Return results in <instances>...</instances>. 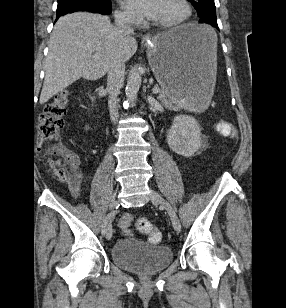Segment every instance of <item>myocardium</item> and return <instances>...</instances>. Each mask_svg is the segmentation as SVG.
<instances>
[{
    "mask_svg": "<svg viewBox=\"0 0 286 308\" xmlns=\"http://www.w3.org/2000/svg\"><path fill=\"white\" fill-rule=\"evenodd\" d=\"M178 1L184 9L183 16L173 21H155L156 26L160 28H175L189 21L192 15V8L189 1L188 0H178Z\"/></svg>",
    "mask_w": 286,
    "mask_h": 308,
    "instance_id": "f54148a6",
    "label": "myocardium"
}]
</instances>
